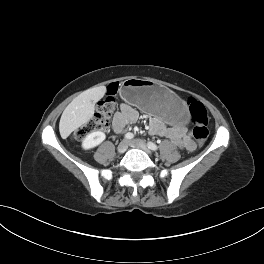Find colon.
<instances>
[{
    "label": "colon",
    "mask_w": 264,
    "mask_h": 264,
    "mask_svg": "<svg viewBox=\"0 0 264 264\" xmlns=\"http://www.w3.org/2000/svg\"><path fill=\"white\" fill-rule=\"evenodd\" d=\"M117 84H110L107 88V96L101 100L96 108L94 116L74 133V139L79 140L91 132L102 130L108 126L109 120L116 108L115 94ZM189 112L193 127V136L199 144L204 143L209 135L208 113L204 105L196 99L189 100Z\"/></svg>",
    "instance_id": "colon-1"
}]
</instances>
